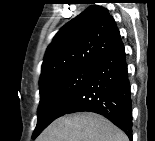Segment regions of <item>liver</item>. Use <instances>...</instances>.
I'll return each instance as SVG.
<instances>
[{"mask_svg":"<svg viewBox=\"0 0 155 141\" xmlns=\"http://www.w3.org/2000/svg\"><path fill=\"white\" fill-rule=\"evenodd\" d=\"M39 141H128V137L105 117L83 112L56 119Z\"/></svg>","mask_w":155,"mask_h":141,"instance_id":"liver-1","label":"liver"}]
</instances>
